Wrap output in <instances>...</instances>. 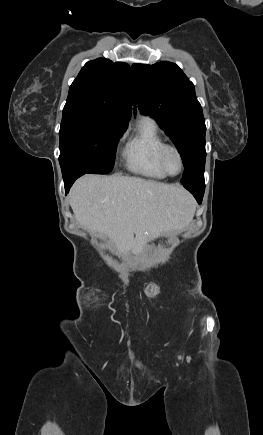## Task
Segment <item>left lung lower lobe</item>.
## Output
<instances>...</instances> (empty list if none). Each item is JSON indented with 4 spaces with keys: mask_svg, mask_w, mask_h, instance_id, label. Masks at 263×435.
I'll list each match as a JSON object with an SVG mask.
<instances>
[{
    "mask_svg": "<svg viewBox=\"0 0 263 435\" xmlns=\"http://www.w3.org/2000/svg\"><path fill=\"white\" fill-rule=\"evenodd\" d=\"M183 186L190 191L196 198L197 202L201 204L205 190L204 178L199 181L183 184Z\"/></svg>",
    "mask_w": 263,
    "mask_h": 435,
    "instance_id": "obj_1",
    "label": "left lung lower lobe"
}]
</instances>
